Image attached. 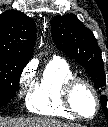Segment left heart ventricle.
Here are the masks:
<instances>
[{"label":"left heart ventricle","mask_w":108,"mask_h":127,"mask_svg":"<svg viewBox=\"0 0 108 127\" xmlns=\"http://www.w3.org/2000/svg\"><path fill=\"white\" fill-rule=\"evenodd\" d=\"M73 100L75 107L81 114L90 116L94 112V98L85 87L80 86L75 90Z\"/></svg>","instance_id":"left-heart-ventricle-1"}]
</instances>
